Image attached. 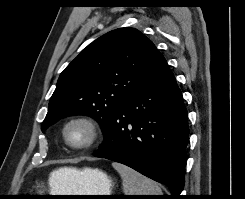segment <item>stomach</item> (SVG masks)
Instances as JSON below:
<instances>
[{
    "label": "stomach",
    "mask_w": 245,
    "mask_h": 199,
    "mask_svg": "<svg viewBox=\"0 0 245 199\" xmlns=\"http://www.w3.org/2000/svg\"><path fill=\"white\" fill-rule=\"evenodd\" d=\"M53 195H110L114 185L106 173L98 169L84 168L72 174H55L52 177ZM82 198H100L99 196H82Z\"/></svg>",
    "instance_id": "1"
}]
</instances>
